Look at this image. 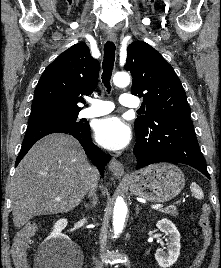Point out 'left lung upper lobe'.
Here are the masks:
<instances>
[{
  "mask_svg": "<svg viewBox=\"0 0 221 268\" xmlns=\"http://www.w3.org/2000/svg\"><path fill=\"white\" fill-rule=\"evenodd\" d=\"M133 77V95L143 97L145 115L135 120V131L148 127L154 117H190L191 109L180 79L172 66L149 44L135 41L128 46L124 66Z\"/></svg>",
  "mask_w": 221,
  "mask_h": 268,
  "instance_id": "5c2ea615",
  "label": "left lung upper lobe"
}]
</instances>
